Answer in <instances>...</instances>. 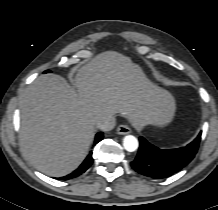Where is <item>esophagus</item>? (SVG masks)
Returning a JSON list of instances; mask_svg holds the SVG:
<instances>
[{"mask_svg": "<svg viewBox=\"0 0 218 210\" xmlns=\"http://www.w3.org/2000/svg\"><path fill=\"white\" fill-rule=\"evenodd\" d=\"M117 133L119 135H126L131 133V129L127 125H119L117 128Z\"/></svg>", "mask_w": 218, "mask_h": 210, "instance_id": "obj_1", "label": "esophagus"}]
</instances>
